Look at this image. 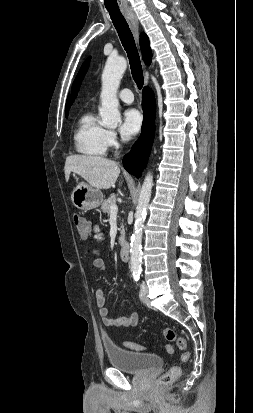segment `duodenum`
Here are the masks:
<instances>
[{
    "mask_svg": "<svg viewBox=\"0 0 253 413\" xmlns=\"http://www.w3.org/2000/svg\"><path fill=\"white\" fill-rule=\"evenodd\" d=\"M119 255H120V259L123 262H127L129 260V257H130L129 244L126 241L122 243Z\"/></svg>",
    "mask_w": 253,
    "mask_h": 413,
    "instance_id": "duodenum-1",
    "label": "duodenum"
}]
</instances>
